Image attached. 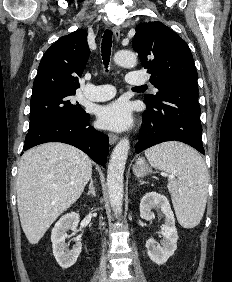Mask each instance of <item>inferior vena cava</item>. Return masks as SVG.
<instances>
[{
	"instance_id": "inferior-vena-cava-1",
	"label": "inferior vena cava",
	"mask_w": 232,
	"mask_h": 282,
	"mask_svg": "<svg viewBox=\"0 0 232 282\" xmlns=\"http://www.w3.org/2000/svg\"><path fill=\"white\" fill-rule=\"evenodd\" d=\"M101 270H102V276L105 277L106 271H105V260L104 259L101 260Z\"/></svg>"
}]
</instances>
